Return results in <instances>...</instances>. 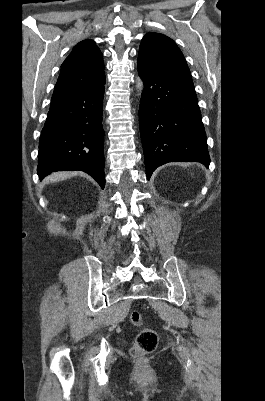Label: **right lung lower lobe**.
Listing matches in <instances>:
<instances>
[{
    "label": "right lung lower lobe",
    "instance_id": "1",
    "mask_svg": "<svg viewBox=\"0 0 265 401\" xmlns=\"http://www.w3.org/2000/svg\"><path fill=\"white\" fill-rule=\"evenodd\" d=\"M104 84L51 101L39 141L37 173L41 180L51 172L81 170L105 187Z\"/></svg>",
    "mask_w": 265,
    "mask_h": 401
}]
</instances>
